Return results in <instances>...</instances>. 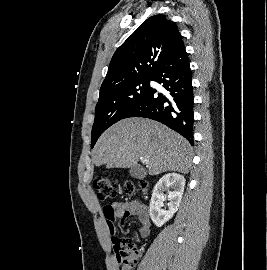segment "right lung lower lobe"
<instances>
[{
  "label": "right lung lower lobe",
  "instance_id": "98d812e1",
  "mask_svg": "<svg viewBox=\"0 0 267 270\" xmlns=\"http://www.w3.org/2000/svg\"><path fill=\"white\" fill-rule=\"evenodd\" d=\"M150 80L166 92L156 94L153 88L125 115L159 121L184 136L193 145V87L189 59L184 44L177 47L158 66ZM123 118V119H124Z\"/></svg>",
  "mask_w": 267,
  "mask_h": 270
}]
</instances>
